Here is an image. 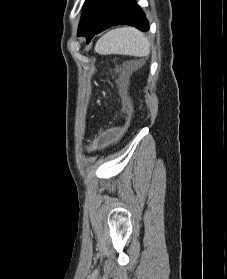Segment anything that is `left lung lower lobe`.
I'll return each instance as SVG.
<instances>
[{"mask_svg":"<svg viewBox=\"0 0 227 279\" xmlns=\"http://www.w3.org/2000/svg\"><path fill=\"white\" fill-rule=\"evenodd\" d=\"M119 24L141 31L149 29L146 16L135 0H93L77 35L85 36L90 42L95 34Z\"/></svg>","mask_w":227,"mask_h":279,"instance_id":"left-lung-lower-lobe-1","label":"left lung lower lobe"}]
</instances>
